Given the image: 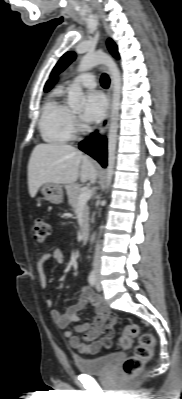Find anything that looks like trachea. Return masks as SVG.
Returning a JSON list of instances; mask_svg holds the SVG:
<instances>
[{"mask_svg":"<svg viewBox=\"0 0 182 399\" xmlns=\"http://www.w3.org/2000/svg\"><path fill=\"white\" fill-rule=\"evenodd\" d=\"M101 85L104 88H108L110 84V79L107 74H103L100 79Z\"/></svg>","mask_w":182,"mask_h":399,"instance_id":"obj_1","label":"trachea"}]
</instances>
